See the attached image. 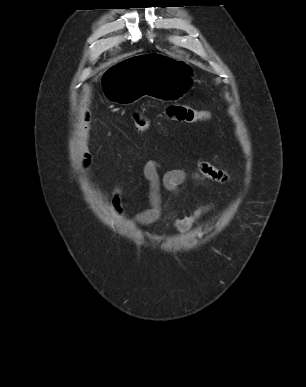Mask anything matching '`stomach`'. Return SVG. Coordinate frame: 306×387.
Returning <instances> with one entry per match:
<instances>
[{"instance_id": "stomach-1", "label": "stomach", "mask_w": 306, "mask_h": 387, "mask_svg": "<svg viewBox=\"0 0 306 387\" xmlns=\"http://www.w3.org/2000/svg\"><path fill=\"white\" fill-rule=\"evenodd\" d=\"M159 46H142L140 55H132L109 70H102L105 98L116 104L147 99H177L192 81V67L183 60L160 52ZM155 53V54H154Z\"/></svg>"}]
</instances>
